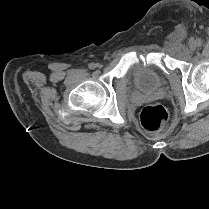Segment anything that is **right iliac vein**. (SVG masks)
I'll return each instance as SVG.
<instances>
[{"mask_svg": "<svg viewBox=\"0 0 209 209\" xmlns=\"http://www.w3.org/2000/svg\"><path fill=\"white\" fill-rule=\"evenodd\" d=\"M97 67H98V68H101V65H100V64H98V65H97Z\"/></svg>", "mask_w": 209, "mask_h": 209, "instance_id": "63e3f726", "label": "right iliac vein"}]
</instances>
